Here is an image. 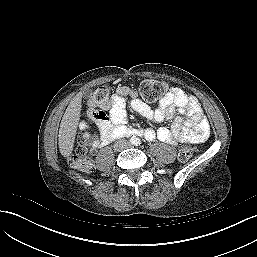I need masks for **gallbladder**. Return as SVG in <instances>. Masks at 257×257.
<instances>
[{
    "mask_svg": "<svg viewBox=\"0 0 257 257\" xmlns=\"http://www.w3.org/2000/svg\"><path fill=\"white\" fill-rule=\"evenodd\" d=\"M89 95H90V92H86V93H85V96H89Z\"/></svg>",
    "mask_w": 257,
    "mask_h": 257,
    "instance_id": "obj_1",
    "label": "gallbladder"
}]
</instances>
